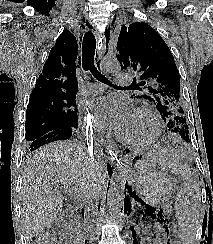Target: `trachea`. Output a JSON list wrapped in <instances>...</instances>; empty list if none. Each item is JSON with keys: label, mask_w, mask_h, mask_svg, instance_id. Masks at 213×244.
Returning <instances> with one entry per match:
<instances>
[{"label": "trachea", "mask_w": 213, "mask_h": 244, "mask_svg": "<svg viewBox=\"0 0 213 244\" xmlns=\"http://www.w3.org/2000/svg\"><path fill=\"white\" fill-rule=\"evenodd\" d=\"M96 49V39L91 31H88L83 38L82 46V67L85 71H90L99 81L112 85L105 76H103L94 65V56ZM116 87V86H115Z\"/></svg>", "instance_id": "1"}]
</instances>
